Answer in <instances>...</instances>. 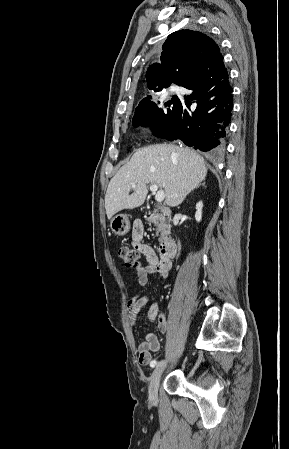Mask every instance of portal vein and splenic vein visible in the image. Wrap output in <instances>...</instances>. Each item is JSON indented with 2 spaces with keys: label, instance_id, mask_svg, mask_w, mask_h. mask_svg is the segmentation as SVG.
I'll return each instance as SVG.
<instances>
[{
  "label": "portal vein and splenic vein",
  "instance_id": "obj_1",
  "mask_svg": "<svg viewBox=\"0 0 289 449\" xmlns=\"http://www.w3.org/2000/svg\"><path fill=\"white\" fill-rule=\"evenodd\" d=\"M131 186H132V188H134L135 184L132 183ZM150 191L155 193V200L157 202H162L164 200V198H165L164 191L163 190H158V186L156 184L150 185Z\"/></svg>",
  "mask_w": 289,
  "mask_h": 449
}]
</instances>
